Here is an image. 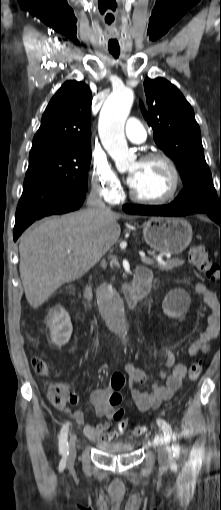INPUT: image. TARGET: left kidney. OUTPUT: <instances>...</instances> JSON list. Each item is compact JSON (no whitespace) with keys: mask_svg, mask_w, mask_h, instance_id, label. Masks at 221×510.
I'll return each instance as SVG.
<instances>
[{"mask_svg":"<svg viewBox=\"0 0 221 510\" xmlns=\"http://www.w3.org/2000/svg\"><path fill=\"white\" fill-rule=\"evenodd\" d=\"M190 302V297L186 291L175 289L170 291L164 298L162 309L168 317L178 318L188 311Z\"/></svg>","mask_w":221,"mask_h":510,"instance_id":"5707ae66","label":"left kidney"}]
</instances>
